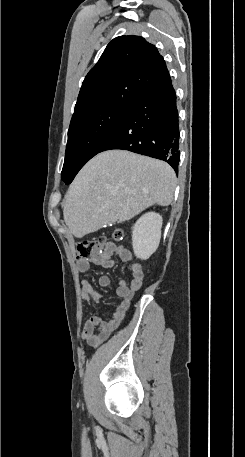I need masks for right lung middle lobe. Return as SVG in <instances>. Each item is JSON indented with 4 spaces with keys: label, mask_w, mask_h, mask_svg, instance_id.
Here are the masks:
<instances>
[{
    "label": "right lung middle lobe",
    "mask_w": 245,
    "mask_h": 457,
    "mask_svg": "<svg viewBox=\"0 0 245 457\" xmlns=\"http://www.w3.org/2000/svg\"><path fill=\"white\" fill-rule=\"evenodd\" d=\"M131 104L113 102L72 117L68 130L62 180L70 184L78 171L113 135Z\"/></svg>",
    "instance_id": "right-lung-middle-lobe-1"
}]
</instances>
